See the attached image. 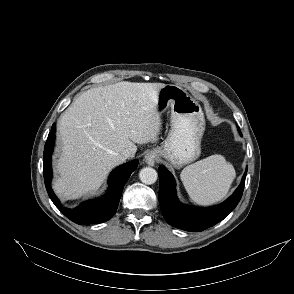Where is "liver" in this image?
Here are the masks:
<instances>
[{"label":"liver","instance_id":"1","mask_svg":"<svg viewBox=\"0 0 294 294\" xmlns=\"http://www.w3.org/2000/svg\"><path fill=\"white\" fill-rule=\"evenodd\" d=\"M164 85L123 81L92 88L67 108L58 123L61 177L53 185L60 197L77 199L96 191L125 161L124 150L135 155L136 143L157 141L161 118L156 101Z\"/></svg>","mask_w":294,"mask_h":294}]
</instances>
